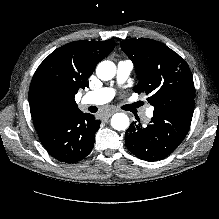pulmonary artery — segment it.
<instances>
[{
    "label": "pulmonary artery",
    "instance_id": "obj_1",
    "mask_svg": "<svg viewBox=\"0 0 219 219\" xmlns=\"http://www.w3.org/2000/svg\"><path fill=\"white\" fill-rule=\"evenodd\" d=\"M133 70V63L130 60H123L117 64L116 77L119 83L125 82ZM114 97L112 88H100L87 92L83 96L85 104L102 105L111 101ZM153 109L149 108L145 111L144 116L149 118L152 115Z\"/></svg>",
    "mask_w": 219,
    "mask_h": 219
}]
</instances>
